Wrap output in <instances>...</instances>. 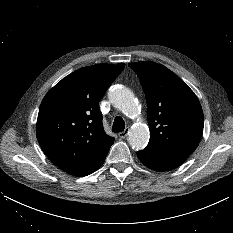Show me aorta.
Segmentation results:
<instances>
[{
  "label": "aorta",
  "mask_w": 233,
  "mask_h": 233,
  "mask_svg": "<svg viewBox=\"0 0 233 233\" xmlns=\"http://www.w3.org/2000/svg\"><path fill=\"white\" fill-rule=\"evenodd\" d=\"M108 97L111 103L128 117L138 114L139 107L134 94L127 88L121 86L112 87ZM149 141V129L145 124H134L128 135V142L135 150H142Z\"/></svg>",
  "instance_id": "762f6f07"
}]
</instances>
